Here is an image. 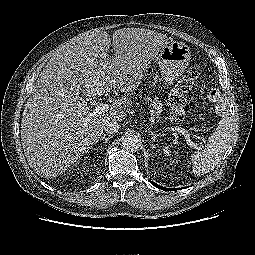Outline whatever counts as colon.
<instances>
[{"mask_svg":"<svg viewBox=\"0 0 255 255\" xmlns=\"http://www.w3.org/2000/svg\"><path fill=\"white\" fill-rule=\"evenodd\" d=\"M200 75V67L196 64L192 65L186 74L175 84L169 95L170 117L176 124H181L185 119V94L189 92ZM207 96L211 101H217L220 93L217 89L211 88L207 92Z\"/></svg>","mask_w":255,"mask_h":255,"instance_id":"5ec220e1","label":"colon"}]
</instances>
